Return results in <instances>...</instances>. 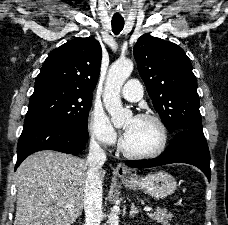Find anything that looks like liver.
<instances>
[{"instance_id":"obj_1","label":"liver","mask_w":228,"mask_h":225,"mask_svg":"<svg viewBox=\"0 0 228 225\" xmlns=\"http://www.w3.org/2000/svg\"><path fill=\"white\" fill-rule=\"evenodd\" d=\"M88 169L86 159L57 151L27 157L15 173L14 225H73L82 215Z\"/></svg>"}]
</instances>
